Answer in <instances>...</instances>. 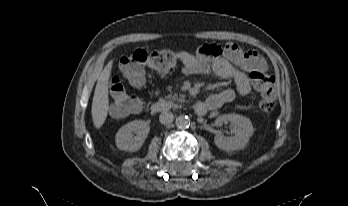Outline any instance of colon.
I'll return each instance as SVG.
<instances>
[{
    "label": "colon",
    "mask_w": 348,
    "mask_h": 206,
    "mask_svg": "<svg viewBox=\"0 0 348 206\" xmlns=\"http://www.w3.org/2000/svg\"><path fill=\"white\" fill-rule=\"evenodd\" d=\"M179 60H181L180 54L171 50L135 49L121 59L120 68L133 86L142 88L145 85L146 68L166 73L173 69ZM250 81L260 95L259 109L262 112L271 111L275 97L274 77L261 71H253L250 73ZM110 106L116 116H124L139 112L143 107V101L139 96L127 92L120 78L113 77L110 83Z\"/></svg>",
    "instance_id": "colon-1"
}]
</instances>
